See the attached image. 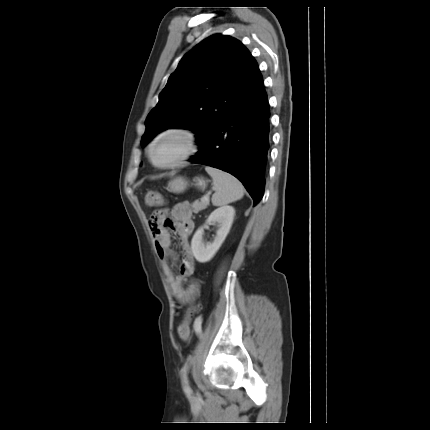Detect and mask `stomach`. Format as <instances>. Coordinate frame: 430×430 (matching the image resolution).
<instances>
[{"mask_svg":"<svg viewBox=\"0 0 430 430\" xmlns=\"http://www.w3.org/2000/svg\"><path fill=\"white\" fill-rule=\"evenodd\" d=\"M189 186V182L181 176L175 177L168 184V189L170 192L175 194L183 193ZM195 186L204 190L206 187V181L203 178L197 177L195 179Z\"/></svg>","mask_w":430,"mask_h":430,"instance_id":"stomach-1","label":"stomach"}]
</instances>
